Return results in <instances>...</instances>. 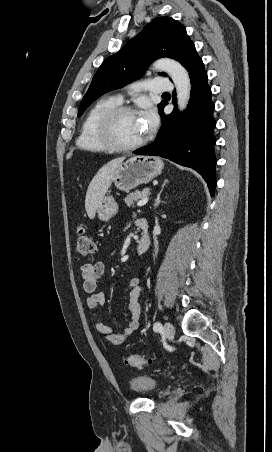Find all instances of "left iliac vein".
I'll use <instances>...</instances> for the list:
<instances>
[{
    "label": "left iliac vein",
    "instance_id": "4c4485c4",
    "mask_svg": "<svg viewBox=\"0 0 272 452\" xmlns=\"http://www.w3.org/2000/svg\"><path fill=\"white\" fill-rule=\"evenodd\" d=\"M164 331L168 339H173L175 335V328L170 322H166L164 325Z\"/></svg>",
    "mask_w": 272,
    "mask_h": 452
}]
</instances>
